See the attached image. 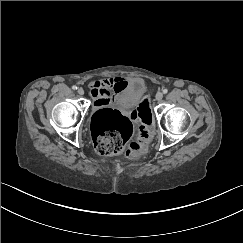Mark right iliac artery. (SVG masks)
Wrapping results in <instances>:
<instances>
[{"label": "right iliac artery", "instance_id": "1", "mask_svg": "<svg viewBox=\"0 0 243 243\" xmlns=\"http://www.w3.org/2000/svg\"><path fill=\"white\" fill-rule=\"evenodd\" d=\"M72 89H73V90H76V89H77V87L74 85V86L72 87Z\"/></svg>", "mask_w": 243, "mask_h": 243}]
</instances>
